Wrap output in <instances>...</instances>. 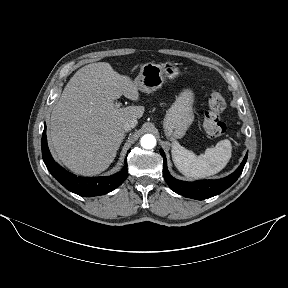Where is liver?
<instances>
[{"instance_id": "6515ba94", "label": "liver", "mask_w": 288, "mask_h": 288, "mask_svg": "<svg viewBox=\"0 0 288 288\" xmlns=\"http://www.w3.org/2000/svg\"><path fill=\"white\" fill-rule=\"evenodd\" d=\"M122 95L139 100L138 88L106 62L79 69L54 107L48 137L57 157L71 171L96 175L106 170L124 139V123L143 116V106L116 107Z\"/></svg>"}]
</instances>
